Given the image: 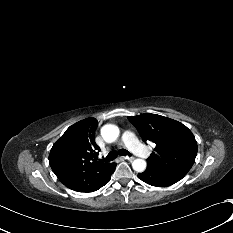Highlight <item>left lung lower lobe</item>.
I'll return each mask as SVG.
<instances>
[{
	"mask_svg": "<svg viewBox=\"0 0 233 233\" xmlns=\"http://www.w3.org/2000/svg\"><path fill=\"white\" fill-rule=\"evenodd\" d=\"M138 176L145 183L155 187H166L179 181V179L163 173L162 171L148 164L146 170L138 174Z\"/></svg>",
	"mask_w": 233,
	"mask_h": 233,
	"instance_id": "obj_1",
	"label": "left lung lower lobe"
}]
</instances>
